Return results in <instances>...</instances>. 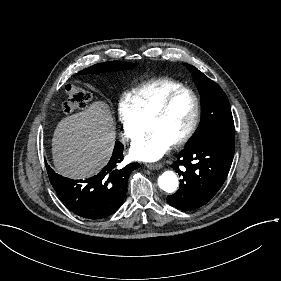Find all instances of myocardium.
Returning <instances> with one entry per match:
<instances>
[{"instance_id":"f54148a6","label":"myocardium","mask_w":281,"mask_h":281,"mask_svg":"<svg viewBox=\"0 0 281 281\" xmlns=\"http://www.w3.org/2000/svg\"><path fill=\"white\" fill-rule=\"evenodd\" d=\"M184 94H188L192 97L194 102V112L187 131L184 133L182 137L172 142V146L175 147H180L186 144L193 137L199 123L200 101L198 96L191 89L183 88L169 95L144 121L145 127H147L152 122L160 119L166 113V111L168 110L170 105L174 102V100H176L178 97Z\"/></svg>"}]
</instances>
